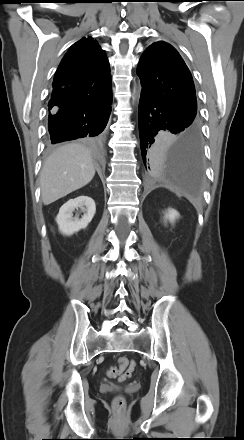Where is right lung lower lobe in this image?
<instances>
[{
  "label": "right lung lower lobe",
  "instance_id": "right-lung-lower-lobe-1",
  "mask_svg": "<svg viewBox=\"0 0 244 440\" xmlns=\"http://www.w3.org/2000/svg\"><path fill=\"white\" fill-rule=\"evenodd\" d=\"M112 96L100 104L72 112H51L48 118L50 140L53 144L62 141L100 135L111 113ZM100 137V136H99Z\"/></svg>",
  "mask_w": 244,
  "mask_h": 440
}]
</instances>
